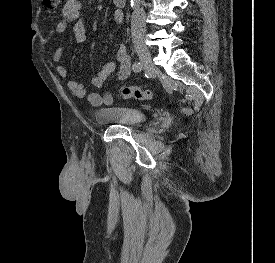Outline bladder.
I'll return each mask as SVG.
<instances>
[{
	"label": "bladder",
	"mask_w": 275,
	"mask_h": 263,
	"mask_svg": "<svg viewBox=\"0 0 275 263\" xmlns=\"http://www.w3.org/2000/svg\"><path fill=\"white\" fill-rule=\"evenodd\" d=\"M94 118L100 124L134 125L148 120L149 116L138 108L109 105L96 110Z\"/></svg>",
	"instance_id": "1"
}]
</instances>
